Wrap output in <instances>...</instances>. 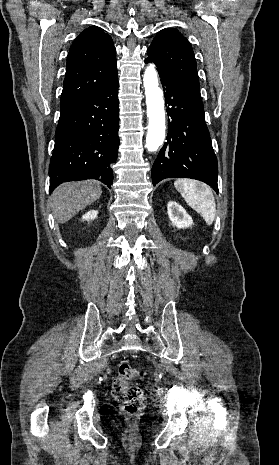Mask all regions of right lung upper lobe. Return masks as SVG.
Wrapping results in <instances>:
<instances>
[{
	"label": "right lung upper lobe",
	"instance_id": "1",
	"mask_svg": "<svg viewBox=\"0 0 279 465\" xmlns=\"http://www.w3.org/2000/svg\"><path fill=\"white\" fill-rule=\"evenodd\" d=\"M116 76L113 40L99 27L85 29L74 40L67 56L60 115L89 99Z\"/></svg>",
	"mask_w": 279,
	"mask_h": 465
}]
</instances>
